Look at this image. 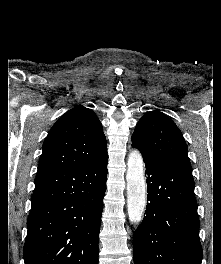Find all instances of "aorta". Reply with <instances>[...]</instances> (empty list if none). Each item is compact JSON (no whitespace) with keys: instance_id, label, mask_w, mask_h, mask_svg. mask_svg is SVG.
Listing matches in <instances>:
<instances>
[{"instance_id":"762f6f07","label":"aorta","mask_w":221,"mask_h":264,"mask_svg":"<svg viewBox=\"0 0 221 264\" xmlns=\"http://www.w3.org/2000/svg\"><path fill=\"white\" fill-rule=\"evenodd\" d=\"M127 206L131 223H139L146 208L144 162L138 150H132L127 159Z\"/></svg>"}]
</instances>
